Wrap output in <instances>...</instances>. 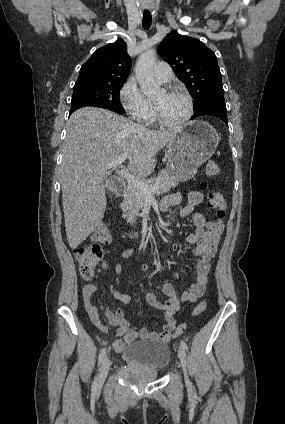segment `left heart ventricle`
I'll return each mask as SVG.
<instances>
[{
	"label": "left heart ventricle",
	"mask_w": 285,
	"mask_h": 424,
	"mask_svg": "<svg viewBox=\"0 0 285 424\" xmlns=\"http://www.w3.org/2000/svg\"><path fill=\"white\" fill-rule=\"evenodd\" d=\"M153 103L157 105L162 117L169 122L181 120L188 111L187 102L184 97L177 94L159 93Z\"/></svg>",
	"instance_id": "1"
}]
</instances>
